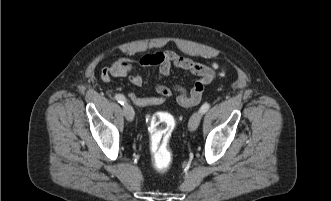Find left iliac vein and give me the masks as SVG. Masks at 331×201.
<instances>
[{
	"label": "left iliac vein",
	"mask_w": 331,
	"mask_h": 201,
	"mask_svg": "<svg viewBox=\"0 0 331 201\" xmlns=\"http://www.w3.org/2000/svg\"><path fill=\"white\" fill-rule=\"evenodd\" d=\"M203 113L199 110L197 112H195L188 123V128L190 131H195L197 129V127L199 126V123L201 121Z\"/></svg>",
	"instance_id": "left-iliac-vein-1"
}]
</instances>
